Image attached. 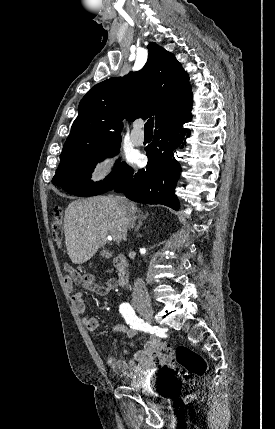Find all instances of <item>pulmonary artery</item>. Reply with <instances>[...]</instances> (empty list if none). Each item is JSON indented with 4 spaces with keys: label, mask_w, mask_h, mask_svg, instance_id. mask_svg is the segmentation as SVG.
<instances>
[{
    "label": "pulmonary artery",
    "mask_w": 275,
    "mask_h": 429,
    "mask_svg": "<svg viewBox=\"0 0 275 429\" xmlns=\"http://www.w3.org/2000/svg\"><path fill=\"white\" fill-rule=\"evenodd\" d=\"M140 127H141V124L137 122L134 124L133 129L131 131V140L136 145L142 144L145 138L144 133L140 129Z\"/></svg>",
    "instance_id": "e3ab8cb5"
}]
</instances>
